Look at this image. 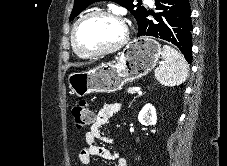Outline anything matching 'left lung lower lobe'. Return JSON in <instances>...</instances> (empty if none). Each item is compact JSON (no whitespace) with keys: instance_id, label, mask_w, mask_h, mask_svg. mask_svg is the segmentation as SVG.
<instances>
[{"instance_id":"obj_1","label":"left lung lower lobe","mask_w":227,"mask_h":166,"mask_svg":"<svg viewBox=\"0 0 227 166\" xmlns=\"http://www.w3.org/2000/svg\"><path fill=\"white\" fill-rule=\"evenodd\" d=\"M155 5L160 12H146L138 27L137 37L154 36L171 42L181 50L188 63H191L192 23L189 1L156 0ZM149 14L155 17V21L147 18Z\"/></svg>"}]
</instances>
